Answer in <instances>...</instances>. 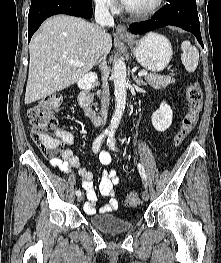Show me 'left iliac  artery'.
<instances>
[{
	"label": "left iliac artery",
	"mask_w": 221,
	"mask_h": 263,
	"mask_svg": "<svg viewBox=\"0 0 221 263\" xmlns=\"http://www.w3.org/2000/svg\"><path fill=\"white\" fill-rule=\"evenodd\" d=\"M114 140H115L114 134H109L108 139H107V145H108L109 149H111L113 151L117 150ZM138 170H139V173L142 177V180L144 181L145 187H147L146 174L144 171V167L140 163L138 164Z\"/></svg>",
	"instance_id": "44dca946"
}]
</instances>
